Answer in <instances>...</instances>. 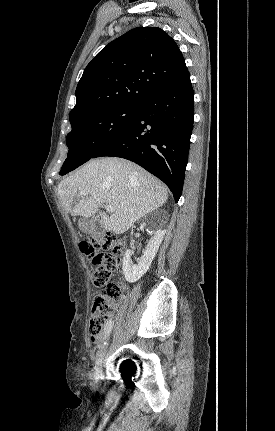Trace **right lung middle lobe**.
Wrapping results in <instances>:
<instances>
[{"label":"right lung middle lobe","instance_id":"dd1d6c3e","mask_svg":"<svg viewBox=\"0 0 275 431\" xmlns=\"http://www.w3.org/2000/svg\"><path fill=\"white\" fill-rule=\"evenodd\" d=\"M137 107L115 106L89 113L71 123L67 135L68 156L60 175L76 169L115 139L135 119Z\"/></svg>","mask_w":275,"mask_h":431}]
</instances>
